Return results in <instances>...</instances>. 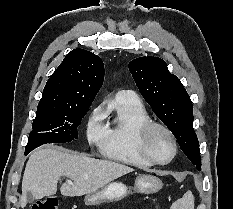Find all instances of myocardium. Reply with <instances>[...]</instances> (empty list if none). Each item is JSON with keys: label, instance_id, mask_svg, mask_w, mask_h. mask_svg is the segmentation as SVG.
Masks as SVG:
<instances>
[{"label": "myocardium", "instance_id": "1", "mask_svg": "<svg viewBox=\"0 0 233 209\" xmlns=\"http://www.w3.org/2000/svg\"><path fill=\"white\" fill-rule=\"evenodd\" d=\"M156 129H159V130H162L163 132H165L169 136V138L172 142L173 152H172L171 157L166 161L157 160L155 157H153V155L150 153V151L148 149V142H149L150 136H151L152 132ZM137 146H138V150H139L141 156L144 159H146L147 161H149L150 163H152L154 165H162V166L171 163L175 159V157L177 155V151H178L177 139H176V136L174 135L173 131L165 124L160 123V122H156V121H152V120H149V121L143 123L138 128Z\"/></svg>", "mask_w": 233, "mask_h": 209}]
</instances>
